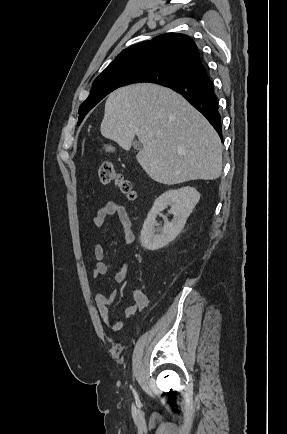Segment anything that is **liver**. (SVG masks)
<instances>
[{"instance_id":"liver-1","label":"liver","mask_w":287,"mask_h":434,"mask_svg":"<svg viewBox=\"0 0 287 434\" xmlns=\"http://www.w3.org/2000/svg\"><path fill=\"white\" fill-rule=\"evenodd\" d=\"M107 139L129 150L135 136L143 144L136 155L158 183L214 180L222 172V143L206 118L181 95L153 84L112 92L100 128Z\"/></svg>"}]
</instances>
